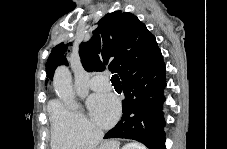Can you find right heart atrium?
Listing matches in <instances>:
<instances>
[{"label":"right heart atrium","instance_id":"d8ad5b80","mask_svg":"<svg viewBox=\"0 0 227 149\" xmlns=\"http://www.w3.org/2000/svg\"><path fill=\"white\" fill-rule=\"evenodd\" d=\"M53 145L61 149H80L98 144L102 132L80 110L55 100L51 104Z\"/></svg>","mask_w":227,"mask_h":149}]
</instances>
